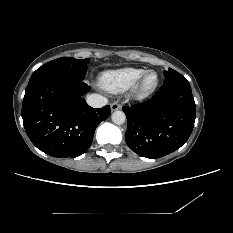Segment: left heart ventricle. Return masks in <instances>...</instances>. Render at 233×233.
<instances>
[{
	"label": "left heart ventricle",
	"instance_id": "left-heart-ventricle-1",
	"mask_svg": "<svg viewBox=\"0 0 233 233\" xmlns=\"http://www.w3.org/2000/svg\"><path fill=\"white\" fill-rule=\"evenodd\" d=\"M153 80H154V75H150L148 78V82L151 83L153 82Z\"/></svg>",
	"mask_w": 233,
	"mask_h": 233
}]
</instances>
